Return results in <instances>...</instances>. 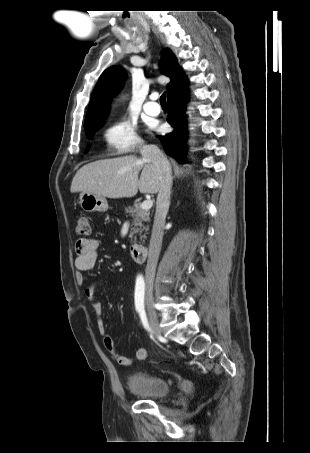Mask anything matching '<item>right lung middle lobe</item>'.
Returning <instances> with one entry per match:
<instances>
[{
    "mask_svg": "<svg viewBox=\"0 0 310 453\" xmlns=\"http://www.w3.org/2000/svg\"><path fill=\"white\" fill-rule=\"evenodd\" d=\"M101 127V124L99 125H96V126H93V127H89V128H85V134L87 137L91 138L92 135L95 133V131Z\"/></svg>",
    "mask_w": 310,
    "mask_h": 453,
    "instance_id": "obj_1",
    "label": "right lung middle lobe"
}]
</instances>
